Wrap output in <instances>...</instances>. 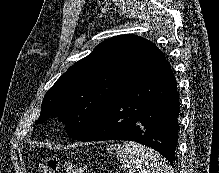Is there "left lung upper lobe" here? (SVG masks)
Here are the masks:
<instances>
[{
	"mask_svg": "<svg viewBox=\"0 0 219 173\" xmlns=\"http://www.w3.org/2000/svg\"><path fill=\"white\" fill-rule=\"evenodd\" d=\"M157 49L137 35H120L100 43L45 94L36 123L58 117L69 137L80 138L138 80L143 65Z\"/></svg>",
	"mask_w": 219,
	"mask_h": 173,
	"instance_id": "1",
	"label": "left lung upper lobe"
}]
</instances>
